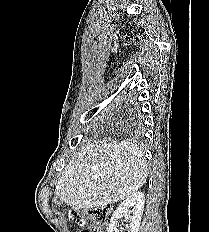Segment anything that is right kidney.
<instances>
[{
  "instance_id": "obj_1",
  "label": "right kidney",
  "mask_w": 209,
  "mask_h": 232,
  "mask_svg": "<svg viewBox=\"0 0 209 232\" xmlns=\"http://www.w3.org/2000/svg\"><path fill=\"white\" fill-rule=\"evenodd\" d=\"M145 203V195L143 192H136L126 198L112 214L108 232H119V220L122 217L130 219L127 232H138ZM130 208H133L130 210ZM132 214V215H131Z\"/></svg>"
}]
</instances>
